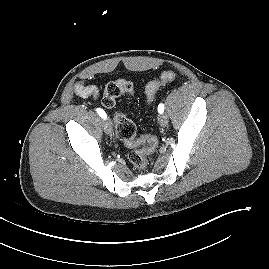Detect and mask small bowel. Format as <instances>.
<instances>
[{
	"label": "small bowel",
	"mask_w": 269,
	"mask_h": 269,
	"mask_svg": "<svg viewBox=\"0 0 269 269\" xmlns=\"http://www.w3.org/2000/svg\"><path fill=\"white\" fill-rule=\"evenodd\" d=\"M74 93L80 97H92L97 100L100 96L99 88L95 85H88L83 81H79L74 85Z\"/></svg>",
	"instance_id": "obj_1"
}]
</instances>
